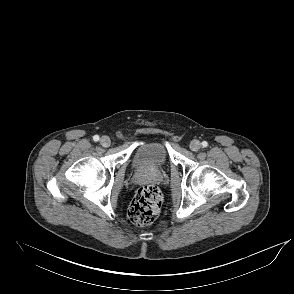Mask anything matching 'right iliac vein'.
<instances>
[{
  "instance_id": "1",
  "label": "right iliac vein",
  "mask_w": 294,
  "mask_h": 294,
  "mask_svg": "<svg viewBox=\"0 0 294 294\" xmlns=\"http://www.w3.org/2000/svg\"><path fill=\"white\" fill-rule=\"evenodd\" d=\"M100 144L103 147H108L111 144V140H110V138L108 136H102L101 139H100Z\"/></svg>"
}]
</instances>
